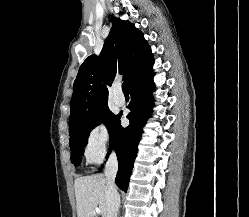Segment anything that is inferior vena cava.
I'll list each match as a JSON object with an SVG mask.
<instances>
[{"instance_id": "inferior-vena-cava-1", "label": "inferior vena cava", "mask_w": 249, "mask_h": 217, "mask_svg": "<svg viewBox=\"0 0 249 217\" xmlns=\"http://www.w3.org/2000/svg\"><path fill=\"white\" fill-rule=\"evenodd\" d=\"M118 171V162L116 154L113 152L105 166V179H106V205L109 211L110 217H117L120 207V196L117 192L115 185V178Z\"/></svg>"}]
</instances>
